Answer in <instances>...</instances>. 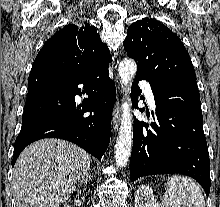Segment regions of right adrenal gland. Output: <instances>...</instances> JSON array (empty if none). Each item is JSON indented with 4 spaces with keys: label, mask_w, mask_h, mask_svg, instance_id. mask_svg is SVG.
<instances>
[{
    "label": "right adrenal gland",
    "mask_w": 220,
    "mask_h": 207,
    "mask_svg": "<svg viewBox=\"0 0 220 207\" xmlns=\"http://www.w3.org/2000/svg\"><path fill=\"white\" fill-rule=\"evenodd\" d=\"M89 180H91L90 170L86 173L85 176H83V177L81 178V183H84L85 185H87Z\"/></svg>",
    "instance_id": "1"
}]
</instances>
